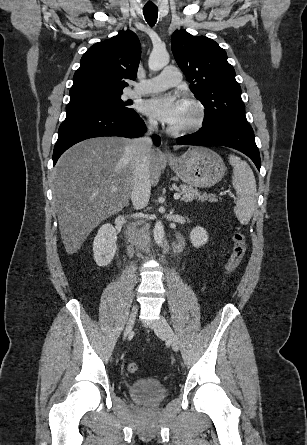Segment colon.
<instances>
[{"instance_id": "5ec220e1", "label": "colon", "mask_w": 307, "mask_h": 445, "mask_svg": "<svg viewBox=\"0 0 307 445\" xmlns=\"http://www.w3.org/2000/svg\"><path fill=\"white\" fill-rule=\"evenodd\" d=\"M233 248L229 260L226 264V273L232 274L240 265L246 252V236L241 228H236L232 234ZM139 366L136 363L128 365L129 373H137Z\"/></svg>"}]
</instances>
